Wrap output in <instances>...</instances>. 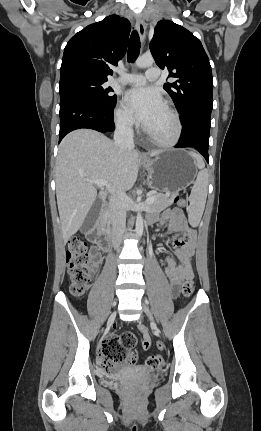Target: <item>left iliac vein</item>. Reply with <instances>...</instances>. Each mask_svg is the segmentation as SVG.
<instances>
[{"label":"left iliac vein","instance_id":"obj_1","mask_svg":"<svg viewBox=\"0 0 261 431\" xmlns=\"http://www.w3.org/2000/svg\"><path fill=\"white\" fill-rule=\"evenodd\" d=\"M143 310L147 314V316L149 317V319L152 321V323H154L153 314H152L151 310L149 309L148 305L146 303H144V302H143Z\"/></svg>","mask_w":261,"mask_h":431}]
</instances>
